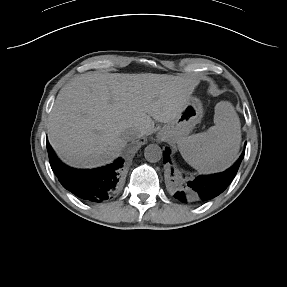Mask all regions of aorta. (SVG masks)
Instances as JSON below:
<instances>
[{"instance_id": "obj_1", "label": "aorta", "mask_w": 287, "mask_h": 287, "mask_svg": "<svg viewBox=\"0 0 287 287\" xmlns=\"http://www.w3.org/2000/svg\"><path fill=\"white\" fill-rule=\"evenodd\" d=\"M144 157L148 162L155 163L162 158V149L157 144H149L144 150Z\"/></svg>"}]
</instances>
